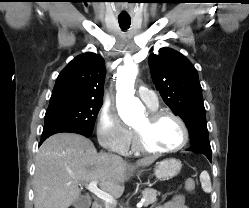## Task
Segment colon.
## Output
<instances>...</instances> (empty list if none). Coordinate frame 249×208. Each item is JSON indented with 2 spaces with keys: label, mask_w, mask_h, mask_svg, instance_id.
<instances>
[{
  "label": "colon",
  "mask_w": 249,
  "mask_h": 208,
  "mask_svg": "<svg viewBox=\"0 0 249 208\" xmlns=\"http://www.w3.org/2000/svg\"><path fill=\"white\" fill-rule=\"evenodd\" d=\"M196 184L193 179H188L185 183V188L188 192L193 193L195 190Z\"/></svg>",
  "instance_id": "obj_1"
}]
</instances>
